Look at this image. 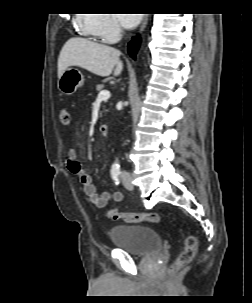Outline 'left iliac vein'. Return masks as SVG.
<instances>
[{"label": "left iliac vein", "instance_id": "left-iliac-vein-1", "mask_svg": "<svg viewBox=\"0 0 252 303\" xmlns=\"http://www.w3.org/2000/svg\"><path fill=\"white\" fill-rule=\"evenodd\" d=\"M122 182L123 185L126 189H132L133 188V184L131 182V177L129 174H123L122 175Z\"/></svg>", "mask_w": 252, "mask_h": 303}]
</instances>
